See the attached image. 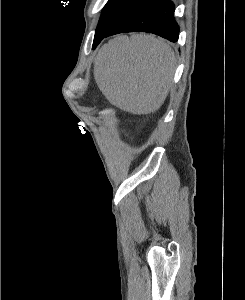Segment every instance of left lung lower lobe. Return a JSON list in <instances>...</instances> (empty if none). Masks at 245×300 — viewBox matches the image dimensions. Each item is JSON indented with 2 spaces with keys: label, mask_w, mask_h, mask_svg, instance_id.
I'll return each instance as SVG.
<instances>
[{
  "label": "left lung lower lobe",
  "mask_w": 245,
  "mask_h": 300,
  "mask_svg": "<svg viewBox=\"0 0 245 300\" xmlns=\"http://www.w3.org/2000/svg\"><path fill=\"white\" fill-rule=\"evenodd\" d=\"M124 32H149L171 42L178 40L179 27L170 0H143L122 15L107 32H96L93 49L102 39Z\"/></svg>",
  "instance_id": "1"
}]
</instances>
